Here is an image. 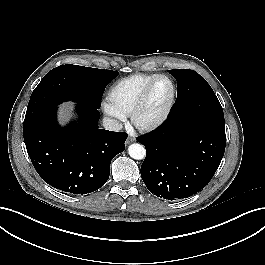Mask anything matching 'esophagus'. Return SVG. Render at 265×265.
I'll use <instances>...</instances> for the list:
<instances>
[{
    "mask_svg": "<svg viewBox=\"0 0 265 265\" xmlns=\"http://www.w3.org/2000/svg\"><path fill=\"white\" fill-rule=\"evenodd\" d=\"M135 139L133 137H128L127 141H126V144H130L132 142H134Z\"/></svg>",
    "mask_w": 265,
    "mask_h": 265,
    "instance_id": "esophagus-1",
    "label": "esophagus"
}]
</instances>
